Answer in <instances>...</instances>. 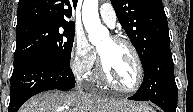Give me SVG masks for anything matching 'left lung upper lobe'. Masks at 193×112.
<instances>
[{
	"instance_id": "obj_1",
	"label": "left lung upper lobe",
	"mask_w": 193,
	"mask_h": 112,
	"mask_svg": "<svg viewBox=\"0 0 193 112\" xmlns=\"http://www.w3.org/2000/svg\"><path fill=\"white\" fill-rule=\"evenodd\" d=\"M111 3L144 66L160 45L170 42L162 1L111 0Z\"/></svg>"
}]
</instances>
